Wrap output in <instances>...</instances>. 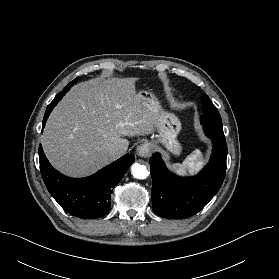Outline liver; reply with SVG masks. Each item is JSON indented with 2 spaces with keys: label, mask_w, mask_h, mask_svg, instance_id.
Wrapping results in <instances>:
<instances>
[{
  "label": "liver",
  "mask_w": 279,
  "mask_h": 279,
  "mask_svg": "<svg viewBox=\"0 0 279 279\" xmlns=\"http://www.w3.org/2000/svg\"><path fill=\"white\" fill-rule=\"evenodd\" d=\"M137 78L92 80L74 86L51 112L41 138L50 163L71 177H85L114 161L124 136L156 129L157 112L135 89Z\"/></svg>",
  "instance_id": "6515ba94"
}]
</instances>
